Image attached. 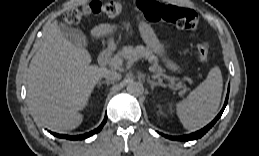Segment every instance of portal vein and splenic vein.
Masks as SVG:
<instances>
[{"label": "portal vein and splenic vein", "mask_w": 259, "mask_h": 156, "mask_svg": "<svg viewBox=\"0 0 259 156\" xmlns=\"http://www.w3.org/2000/svg\"><path fill=\"white\" fill-rule=\"evenodd\" d=\"M111 65H113L114 67H119L122 65V61L121 60H112L111 61ZM164 78H167L166 76H164ZM171 82L174 81V78H168Z\"/></svg>", "instance_id": "portal-vein-and-splenic-vein-1"}]
</instances>
